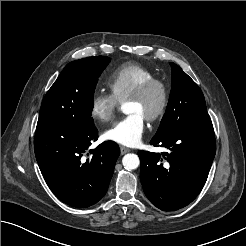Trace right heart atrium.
Masks as SVG:
<instances>
[{
  "label": "right heart atrium",
  "mask_w": 246,
  "mask_h": 246,
  "mask_svg": "<svg viewBox=\"0 0 246 246\" xmlns=\"http://www.w3.org/2000/svg\"><path fill=\"white\" fill-rule=\"evenodd\" d=\"M118 107V101L111 93L97 92L90 101V115L100 122L106 123L113 119Z\"/></svg>",
  "instance_id": "1"
}]
</instances>
